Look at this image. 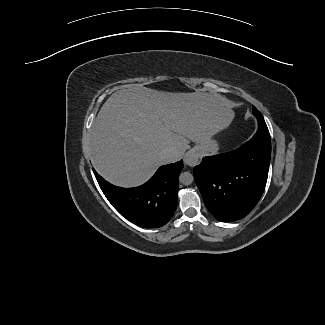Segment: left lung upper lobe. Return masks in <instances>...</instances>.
I'll return each mask as SVG.
<instances>
[{"label":"left lung upper lobe","mask_w":325,"mask_h":325,"mask_svg":"<svg viewBox=\"0 0 325 325\" xmlns=\"http://www.w3.org/2000/svg\"><path fill=\"white\" fill-rule=\"evenodd\" d=\"M253 114L256 115H262L254 106H253Z\"/></svg>","instance_id":"obj_1"}]
</instances>
